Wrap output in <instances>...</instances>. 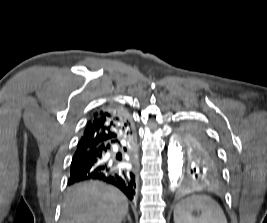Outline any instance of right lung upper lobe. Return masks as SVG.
Wrapping results in <instances>:
<instances>
[{"label": "right lung upper lobe", "instance_id": "right-lung-upper-lobe-1", "mask_svg": "<svg viewBox=\"0 0 267 223\" xmlns=\"http://www.w3.org/2000/svg\"><path fill=\"white\" fill-rule=\"evenodd\" d=\"M131 125L130 115L122 107L108 106L94 111L78 143L76 153L120 138L123 131Z\"/></svg>", "mask_w": 267, "mask_h": 223}]
</instances>
